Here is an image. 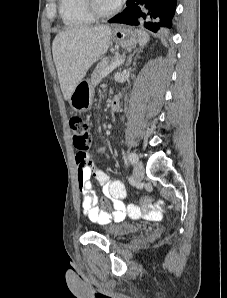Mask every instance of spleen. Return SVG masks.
Listing matches in <instances>:
<instances>
[{"mask_svg": "<svg viewBox=\"0 0 227 298\" xmlns=\"http://www.w3.org/2000/svg\"><path fill=\"white\" fill-rule=\"evenodd\" d=\"M138 34H139V44L141 46H144L147 44V42L149 41V35L148 33H146L145 31L143 30H138L137 31Z\"/></svg>", "mask_w": 227, "mask_h": 298, "instance_id": "obj_1", "label": "spleen"}]
</instances>
